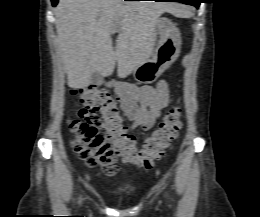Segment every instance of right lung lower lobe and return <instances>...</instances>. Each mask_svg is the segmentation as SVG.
<instances>
[{"mask_svg":"<svg viewBox=\"0 0 260 217\" xmlns=\"http://www.w3.org/2000/svg\"><path fill=\"white\" fill-rule=\"evenodd\" d=\"M51 1H52V5H53V6H56L57 3H58V0H51Z\"/></svg>","mask_w":260,"mask_h":217,"instance_id":"obj_1","label":"right lung lower lobe"}]
</instances>
